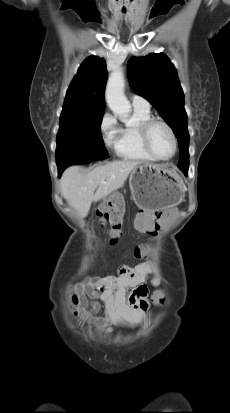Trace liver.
<instances>
[{"mask_svg":"<svg viewBox=\"0 0 230 413\" xmlns=\"http://www.w3.org/2000/svg\"><path fill=\"white\" fill-rule=\"evenodd\" d=\"M140 164L131 160L113 161L89 172H84L79 166H71L63 172L60 180L62 196L79 217L84 218L92 202L123 187L129 174Z\"/></svg>","mask_w":230,"mask_h":413,"instance_id":"1","label":"liver"}]
</instances>
